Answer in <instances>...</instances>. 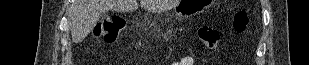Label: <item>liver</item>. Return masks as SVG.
<instances>
[{"instance_id":"1","label":"liver","mask_w":309,"mask_h":65,"mask_svg":"<svg viewBox=\"0 0 309 65\" xmlns=\"http://www.w3.org/2000/svg\"><path fill=\"white\" fill-rule=\"evenodd\" d=\"M149 12H162L176 4L171 0H141ZM137 0H75L70 17L71 36L74 43L82 42L94 28L102 13L115 10L130 12L138 9Z\"/></svg>"}]
</instances>
